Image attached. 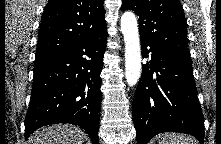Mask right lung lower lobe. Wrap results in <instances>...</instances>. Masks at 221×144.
<instances>
[{
    "label": "right lung lower lobe",
    "mask_w": 221,
    "mask_h": 144,
    "mask_svg": "<svg viewBox=\"0 0 221 144\" xmlns=\"http://www.w3.org/2000/svg\"><path fill=\"white\" fill-rule=\"evenodd\" d=\"M107 36L106 29L34 65L25 139L40 127L70 123L98 143L100 72Z\"/></svg>",
    "instance_id": "obj_1"
}]
</instances>
